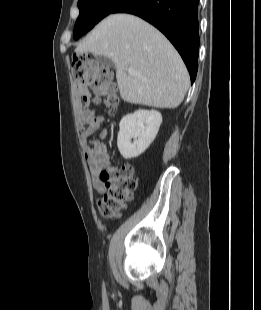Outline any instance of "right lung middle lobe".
Instances as JSON below:
<instances>
[{
	"label": "right lung middle lobe",
	"instance_id": "1",
	"mask_svg": "<svg viewBox=\"0 0 261 310\" xmlns=\"http://www.w3.org/2000/svg\"><path fill=\"white\" fill-rule=\"evenodd\" d=\"M125 0H78L79 17L74 27V39L84 35L101 19Z\"/></svg>",
	"mask_w": 261,
	"mask_h": 310
}]
</instances>
